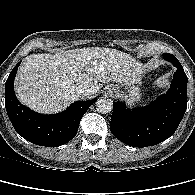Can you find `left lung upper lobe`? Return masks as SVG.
Masks as SVG:
<instances>
[{
    "mask_svg": "<svg viewBox=\"0 0 195 195\" xmlns=\"http://www.w3.org/2000/svg\"><path fill=\"white\" fill-rule=\"evenodd\" d=\"M162 56L164 57V59H166L167 61L171 62L172 64L180 63L177 60V58L174 55H172V54L164 53V54H162Z\"/></svg>",
    "mask_w": 195,
    "mask_h": 195,
    "instance_id": "1",
    "label": "left lung upper lobe"
}]
</instances>
